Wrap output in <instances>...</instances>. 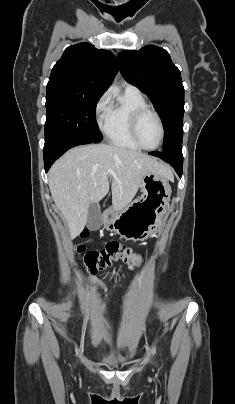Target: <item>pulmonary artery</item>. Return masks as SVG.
I'll return each instance as SVG.
<instances>
[{
    "mask_svg": "<svg viewBox=\"0 0 235 404\" xmlns=\"http://www.w3.org/2000/svg\"><path fill=\"white\" fill-rule=\"evenodd\" d=\"M125 89L129 91H139L134 85L131 84H127Z\"/></svg>",
    "mask_w": 235,
    "mask_h": 404,
    "instance_id": "e3ab8cb5",
    "label": "pulmonary artery"
}]
</instances>
